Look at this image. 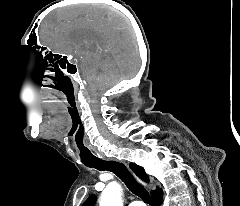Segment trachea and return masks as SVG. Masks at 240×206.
<instances>
[{"label":"trachea","instance_id":"trachea-1","mask_svg":"<svg viewBox=\"0 0 240 206\" xmlns=\"http://www.w3.org/2000/svg\"><path fill=\"white\" fill-rule=\"evenodd\" d=\"M87 167L95 168L100 171H111L116 174L127 186V188L135 195L139 196L143 199L144 202L153 206L151 197L148 191L140 185L132 174L128 171L126 166L123 163L117 161H104L102 159H98L96 161L86 163Z\"/></svg>","mask_w":240,"mask_h":206}]
</instances>
